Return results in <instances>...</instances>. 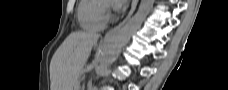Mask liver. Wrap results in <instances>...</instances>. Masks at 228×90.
<instances>
[{"instance_id":"obj_1","label":"liver","mask_w":228,"mask_h":90,"mask_svg":"<svg viewBox=\"0 0 228 90\" xmlns=\"http://www.w3.org/2000/svg\"><path fill=\"white\" fill-rule=\"evenodd\" d=\"M99 35L72 32L60 45L50 63L51 90H75L80 73Z\"/></svg>"}]
</instances>
